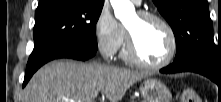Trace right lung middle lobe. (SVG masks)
<instances>
[{
	"instance_id": "right-lung-middle-lobe-1",
	"label": "right lung middle lobe",
	"mask_w": 221,
	"mask_h": 102,
	"mask_svg": "<svg viewBox=\"0 0 221 102\" xmlns=\"http://www.w3.org/2000/svg\"><path fill=\"white\" fill-rule=\"evenodd\" d=\"M104 3L52 0L35 12L34 49L28 63L58 47L76 44L97 50L96 22Z\"/></svg>"
}]
</instances>
